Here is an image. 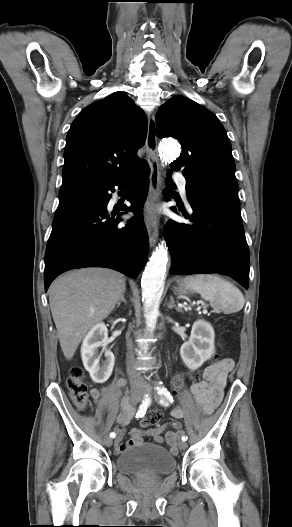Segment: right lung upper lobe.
Masks as SVG:
<instances>
[{"label": "right lung upper lobe", "mask_w": 292, "mask_h": 527, "mask_svg": "<svg viewBox=\"0 0 292 527\" xmlns=\"http://www.w3.org/2000/svg\"><path fill=\"white\" fill-rule=\"evenodd\" d=\"M147 119L125 93L115 92L84 108L66 137L63 183L107 184L137 171L143 162Z\"/></svg>", "instance_id": "obj_1"}]
</instances>
